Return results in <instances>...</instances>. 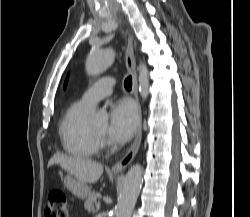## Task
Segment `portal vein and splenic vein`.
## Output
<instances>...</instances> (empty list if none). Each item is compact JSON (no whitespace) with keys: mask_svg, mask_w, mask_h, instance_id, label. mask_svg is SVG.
<instances>
[{"mask_svg":"<svg viewBox=\"0 0 250 217\" xmlns=\"http://www.w3.org/2000/svg\"><path fill=\"white\" fill-rule=\"evenodd\" d=\"M100 203H96V210H99L100 209Z\"/></svg>","mask_w":250,"mask_h":217,"instance_id":"1","label":"portal vein and splenic vein"}]
</instances>
